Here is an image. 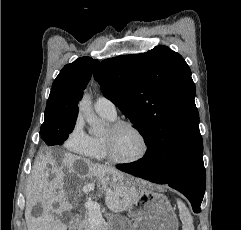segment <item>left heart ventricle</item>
Masks as SVG:
<instances>
[{
    "label": "left heart ventricle",
    "mask_w": 241,
    "mask_h": 230,
    "mask_svg": "<svg viewBox=\"0 0 241 230\" xmlns=\"http://www.w3.org/2000/svg\"><path fill=\"white\" fill-rule=\"evenodd\" d=\"M105 136L110 137L114 155L119 159L135 158L142 151L140 138L128 127H122L113 133L108 129Z\"/></svg>",
    "instance_id": "b2bd125f"
}]
</instances>
